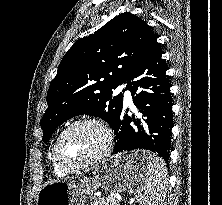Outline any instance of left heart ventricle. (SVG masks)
Segmentation results:
<instances>
[{
	"instance_id": "1",
	"label": "left heart ventricle",
	"mask_w": 222,
	"mask_h": 205,
	"mask_svg": "<svg viewBox=\"0 0 222 205\" xmlns=\"http://www.w3.org/2000/svg\"><path fill=\"white\" fill-rule=\"evenodd\" d=\"M104 144V135L92 125H79L62 139L59 154L67 164L83 162L97 154Z\"/></svg>"
}]
</instances>
